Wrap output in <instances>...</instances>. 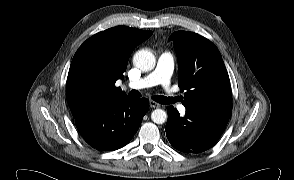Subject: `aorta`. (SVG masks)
Wrapping results in <instances>:
<instances>
[{"instance_id": "aorta-1", "label": "aorta", "mask_w": 294, "mask_h": 180, "mask_svg": "<svg viewBox=\"0 0 294 180\" xmlns=\"http://www.w3.org/2000/svg\"><path fill=\"white\" fill-rule=\"evenodd\" d=\"M133 63L141 71L147 72L154 69L156 59L152 52L142 49L135 53ZM151 119L156 124H163L167 120V114L162 109H155L151 113Z\"/></svg>"}]
</instances>
